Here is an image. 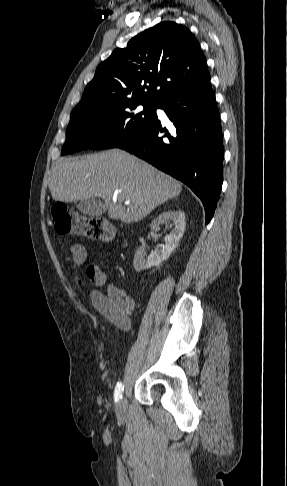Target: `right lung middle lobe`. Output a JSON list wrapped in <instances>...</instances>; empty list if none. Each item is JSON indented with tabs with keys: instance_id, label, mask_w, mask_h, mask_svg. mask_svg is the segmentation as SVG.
<instances>
[{
	"instance_id": "right-lung-middle-lobe-1",
	"label": "right lung middle lobe",
	"mask_w": 287,
	"mask_h": 486,
	"mask_svg": "<svg viewBox=\"0 0 287 486\" xmlns=\"http://www.w3.org/2000/svg\"><path fill=\"white\" fill-rule=\"evenodd\" d=\"M156 108L154 101L125 99L72 111L61 155L114 148L143 129L156 115Z\"/></svg>"
}]
</instances>
